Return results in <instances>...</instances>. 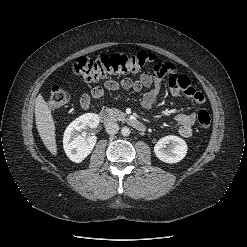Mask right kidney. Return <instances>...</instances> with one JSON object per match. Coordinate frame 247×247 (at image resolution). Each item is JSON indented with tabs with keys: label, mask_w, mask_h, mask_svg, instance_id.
Listing matches in <instances>:
<instances>
[{
	"label": "right kidney",
	"mask_w": 247,
	"mask_h": 247,
	"mask_svg": "<svg viewBox=\"0 0 247 247\" xmlns=\"http://www.w3.org/2000/svg\"><path fill=\"white\" fill-rule=\"evenodd\" d=\"M98 124L99 116L97 114L86 113L68 125L64 132L63 147L71 161L80 163L92 152L97 137H84L80 132L86 127L96 128Z\"/></svg>",
	"instance_id": "ca27d5eb"
}]
</instances>
